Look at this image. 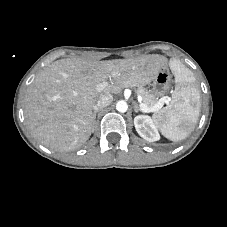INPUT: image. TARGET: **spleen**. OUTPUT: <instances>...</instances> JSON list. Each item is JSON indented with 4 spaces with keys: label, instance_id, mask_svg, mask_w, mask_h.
<instances>
[{
    "label": "spleen",
    "instance_id": "1",
    "mask_svg": "<svg viewBox=\"0 0 227 227\" xmlns=\"http://www.w3.org/2000/svg\"><path fill=\"white\" fill-rule=\"evenodd\" d=\"M176 87L169 108L154 115V122L171 141L185 139L193 130L200 113V92L191 71L178 60L170 61Z\"/></svg>",
    "mask_w": 227,
    "mask_h": 227
}]
</instances>
